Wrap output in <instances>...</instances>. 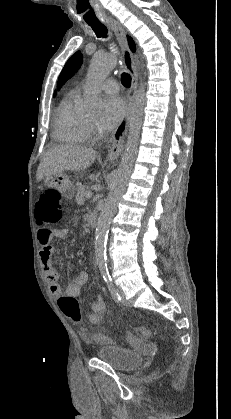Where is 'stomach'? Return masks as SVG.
<instances>
[{"mask_svg":"<svg viewBox=\"0 0 231 419\" xmlns=\"http://www.w3.org/2000/svg\"><path fill=\"white\" fill-rule=\"evenodd\" d=\"M43 181L45 186L58 190L67 198H72L74 195V186L63 172L46 176Z\"/></svg>","mask_w":231,"mask_h":419,"instance_id":"1","label":"stomach"}]
</instances>
